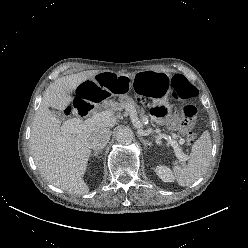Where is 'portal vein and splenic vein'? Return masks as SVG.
<instances>
[{
    "instance_id": "portal-vein-and-splenic-vein-1",
    "label": "portal vein and splenic vein",
    "mask_w": 248,
    "mask_h": 248,
    "mask_svg": "<svg viewBox=\"0 0 248 248\" xmlns=\"http://www.w3.org/2000/svg\"><path fill=\"white\" fill-rule=\"evenodd\" d=\"M128 112L130 114V119L133 123V125L139 130V134L142 136H146L149 133L146 131L141 130L142 128V123L137 117L136 111L132 108L129 107ZM113 115V110L108 109L105 111H102L90 119H87L86 121H81L80 119L73 118L65 121L63 125L61 126L62 131L64 132H69V133H76L79 130L85 128L87 125L93 124L95 122L103 121V120H108L110 117ZM161 139H165L167 141V144L171 145L174 148L175 154L178 158H180L182 161L186 160V155L181 152L178 148V143L174 140H169L166 137L162 136H155V141L158 143Z\"/></svg>"
}]
</instances>
